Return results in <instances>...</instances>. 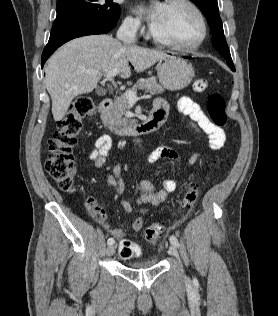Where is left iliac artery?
I'll return each instance as SVG.
<instances>
[{"label": "left iliac artery", "mask_w": 278, "mask_h": 316, "mask_svg": "<svg viewBox=\"0 0 278 316\" xmlns=\"http://www.w3.org/2000/svg\"><path fill=\"white\" fill-rule=\"evenodd\" d=\"M169 240L175 247H179V241L174 235H171Z\"/></svg>", "instance_id": "obj_1"}]
</instances>
